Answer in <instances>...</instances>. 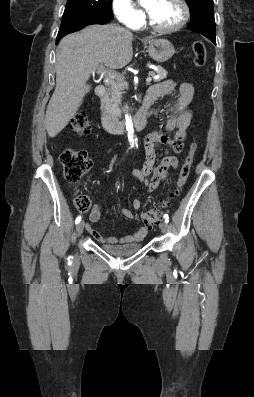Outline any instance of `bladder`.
I'll list each match as a JSON object with an SVG mask.
<instances>
[{
	"label": "bladder",
	"instance_id": "31cf9c89",
	"mask_svg": "<svg viewBox=\"0 0 254 397\" xmlns=\"http://www.w3.org/2000/svg\"><path fill=\"white\" fill-rule=\"evenodd\" d=\"M142 248L140 243L118 245V246H103L102 249L116 257H124L138 252Z\"/></svg>",
	"mask_w": 254,
	"mask_h": 397
}]
</instances>
